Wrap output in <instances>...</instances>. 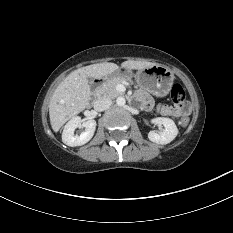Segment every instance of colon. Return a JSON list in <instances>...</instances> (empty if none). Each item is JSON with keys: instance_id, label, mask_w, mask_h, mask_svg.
<instances>
[{"instance_id": "5ec220e1", "label": "colon", "mask_w": 233, "mask_h": 233, "mask_svg": "<svg viewBox=\"0 0 233 233\" xmlns=\"http://www.w3.org/2000/svg\"><path fill=\"white\" fill-rule=\"evenodd\" d=\"M171 99L176 106H184L186 104V93L184 88L180 84H174L171 87ZM182 126H187L189 123V118L183 116L180 120Z\"/></svg>"}]
</instances>
